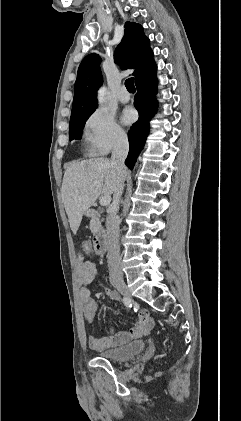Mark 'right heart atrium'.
<instances>
[{"label": "right heart atrium", "mask_w": 241, "mask_h": 421, "mask_svg": "<svg viewBox=\"0 0 241 421\" xmlns=\"http://www.w3.org/2000/svg\"><path fill=\"white\" fill-rule=\"evenodd\" d=\"M85 139L91 154L103 156L127 142V134L113 115L97 109L86 119Z\"/></svg>", "instance_id": "d8ad5b80"}]
</instances>
